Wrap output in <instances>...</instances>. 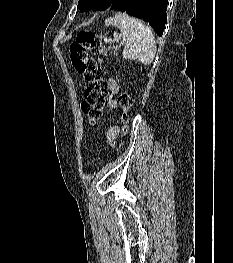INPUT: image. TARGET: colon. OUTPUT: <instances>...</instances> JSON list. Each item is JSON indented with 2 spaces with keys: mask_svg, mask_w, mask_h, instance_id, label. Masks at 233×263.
<instances>
[{
  "mask_svg": "<svg viewBox=\"0 0 233 263\" xmlns=\"http://www.w3.org/2000/svg\"><path fill=\"white\" fill-rule=\"evenodd\" d=\"M70 59L74 69L81 74L86 82L84 100L81 110L90 124L99 120L104 110V98L107 85L104 81L105 70L97 65L92 55H107V50L102 44L101 37L89 30H82L69 46ZM119 106L122 109V132L128 133L129 114L132 106L131 95L124 91L118 97Z\"/></svg>",
  "mask_w": 233,
  "mask_h": 263,
  "instance_id": "5ec220e1",
  "label": "colon"
}]
</instances>
